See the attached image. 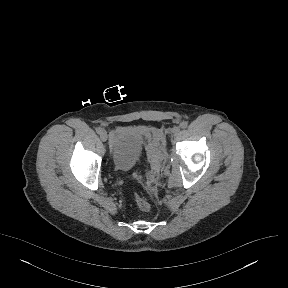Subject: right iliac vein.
I'll return each mask as SVG.
<instances>
[{
    "label": "right iliac vein",
    "mask_w": 288,
    "mask_h": 288,
    "mask_svg": "<svg viewBox=\"0 0 288 288\" xmlns=\"http://www.w3.org/2000/svg\"><path fill=\"white\" fill-rule=\"evenodd\" d=\"M100 138L103 142H106L107 141V133L105 131H103L101 134H100Z\"/></svg>",
    "instance_id": "right-iliac-vein-1"
}]
</instances>
